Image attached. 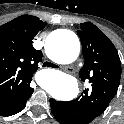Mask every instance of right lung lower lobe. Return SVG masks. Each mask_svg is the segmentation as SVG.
Wrapping results in <instances>:
<instances>
[{"instance_id":"1","label":"right lung lower lobe","mask_w":124,"mask_h":124,"mask_svg":"<svg viewBox=\"0 0 124 124\" xmlns=\"http://www.w3.org/2000/svg\"><path fill=\"white\" fill-rule=\"evenodd\" d=\"M27 100H28V99H27ZM27 100H25L23 103H21V104L18 105V106H15V107L2 108V109H0V115H1V116H10V115H14V114L20 112L21 110L24 109Z\"/></svg>"}]
</instances>
